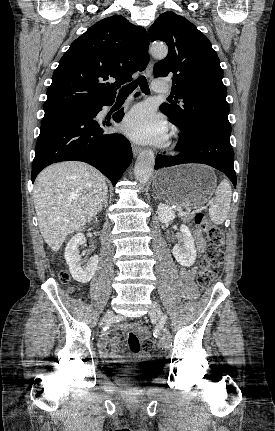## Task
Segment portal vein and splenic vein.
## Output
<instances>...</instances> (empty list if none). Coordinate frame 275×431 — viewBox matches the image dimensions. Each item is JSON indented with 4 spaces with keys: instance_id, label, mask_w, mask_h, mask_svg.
<instances>
[{
    "instance_id": "18ae733b",
    "label": "portal vein and splenic vein",
    "mask_w": 275,
    "mask_h": 431,
    "mask_svg": "<svg viewBox=\"0 0 275 431\" xmlns=\"http://www.w3.org/2000/svg\"><path fill=\"white\" fill-rule=\"evenodd\" d=\"M180 216H184V215H186V212L185 211H179V213H178Z\"/></svg>"
}]
</instances>
